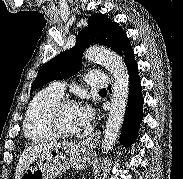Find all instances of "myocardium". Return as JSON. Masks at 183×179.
<instances>
[{
    "instance_id": "1",
    "label": "myocardium",
    "mask_w": 183,
    "mask_h": 179,
    "mask_svg": "<svg viewBox=\"0 0 183 179\" xmlns=\"http://www.w3.org/2000/svg\"><path fill=\"white\" fill-rule=\"evenodd\" d=\"M66 105H76V102L70 98H59L49 108L46 115V125L49 132L53 137L57 138H70L76 136L79 131L76 132H63L57 126V117L59 111Z\"/></svg>"
}]
</instances>
